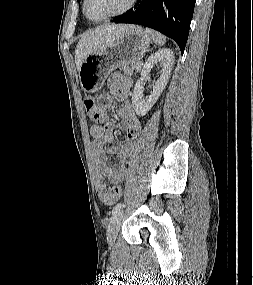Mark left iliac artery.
I'll return each instance as SVG.
<instances>
[{
	"mask_svg": "<svg viewBox=\"0 0 253 285\" xmlns=\"http://www.w3.org/2000/svg\"><path fill=\"white\" fill-rule=\"evenodd\" d=\"M122 208V203H118L112 210V215L114 216Z\"/></svg>",
	"mask_w": 253,
	"mask_h": 285,
	"instance_id": "left-iliac-artery-1",
	"label": "left iliac artery"
}]
</instances>
